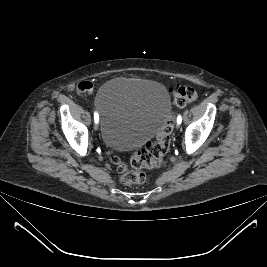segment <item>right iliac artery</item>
<instances>
[{
    "label": "right iliac artery",
    "mask_w": 267,
    "mask_h": 267,
    "mask_svg": "<svg viewBox=\"0 0 267 267\" xmlns=\"http://www.w3.org/2000/svg\"><path fill=\"white\" fill-rule=\"evenodd\" d=\"M94 119H95V123H97L99 121V117H98L97 113H95Z\"/></svg>",
    "instance_id": "obj_1"
}]
</instances>
